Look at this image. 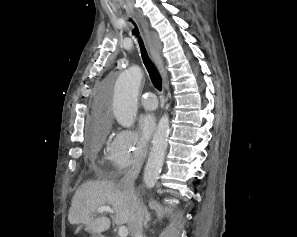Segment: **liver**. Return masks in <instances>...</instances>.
I'll return each mask as SVG.
<instances>
[{"mask_svg":"<svg viewBox=\"0 0 297 237\" xmlns=\"http://www.w3.org/2000/svg\"><path fill=\"white\" fill-rule=\"evenodd\" d=\"M111 206L116 225L128 224L130 208L128 200L118 184L107 181H89L75 192L68 220L70 224H84L91 234H101L110 228L111 221L105 216H96L97 209Z\"/></svg>","mask_w":297,"mask_h":237,"instance_id":"liver-1","label":"liver"}]
</instances>
